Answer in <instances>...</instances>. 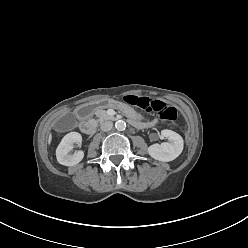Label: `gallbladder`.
Here are the masks:
<instances>
[{"label":"gallbladder","instance_id":"gallbladder-1","mask_svg":"<svg viewBox=\"0 0 248 248\" xmlns=\"http://www.w3.org/2000/svg\"><path fill=\"white\" fill-rule=\"evenodd\" d=\"M74 121H75V118L73 117L72 119H71V122H70V124H69V127H72L73 126V124H74ZM65 124H64V121H60V122H58L57 123V129H63L65 126H64Z\"/></svg>","mask_w":248,"mask_h":248}]
</instances>
